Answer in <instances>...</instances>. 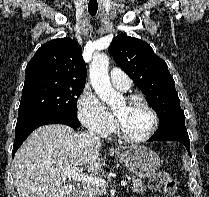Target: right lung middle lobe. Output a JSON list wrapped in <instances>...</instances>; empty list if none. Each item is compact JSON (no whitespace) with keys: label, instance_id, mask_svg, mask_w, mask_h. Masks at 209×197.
Returning <instances> with one entry per match:
<instances>
[{"label":"right lung middle lobe","instance_id":"right-lung-middle-lobe-1","mask_svg":"<svg viewBox=\"0 0 209 197\" xmlns=\"http://www.w3.org/2000/svg\"><path fill=\"white\" fill-rule=\"evenodd\" d=\"M84 86L83 83L50 80L25 83L17 122L48 113L77 117V98Z\"/></svg>","mask_w":209,"mask_h":197}]
</instances>
